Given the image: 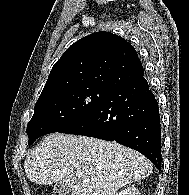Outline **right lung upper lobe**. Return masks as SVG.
Listing matches in <instances>:
<instances>
[{
  "mask_svg": "<svg viewBox=\"0 0 189 195\" xmlns=\"http://www.w3.org/2000/svg\"><path fill=\"white\" fill-rule=\"evenodd\" d=\"M142 75L135 49L124 38L100 31L67 49L54 64L40 96L79 87L112 91Z\"/></svg>",
  "mask_w": 189,
  "mask_h": 195,
  "instance_id": "obj_1",
  "label": "right lung upper lobe"
}]
</instances>
